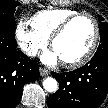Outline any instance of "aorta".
Wrapping results in <instances>:
<instances>
[{
    "label": "aorta",
    "instance_id": "obj_1",
    "mask_svg": "<svg viewBox=\"0 0 108 108\" xmlns=\"http://www.w3.org/2000/svg\"><path fill=\"white\" fill-rule=\"evenodd\" d=\"M43 87L47 92H55L58 89V83L54 78L47 77L43 81Z\"/></svg>",
    "mask_w": 108,
    "mask_h": 108
}]
</instances>
